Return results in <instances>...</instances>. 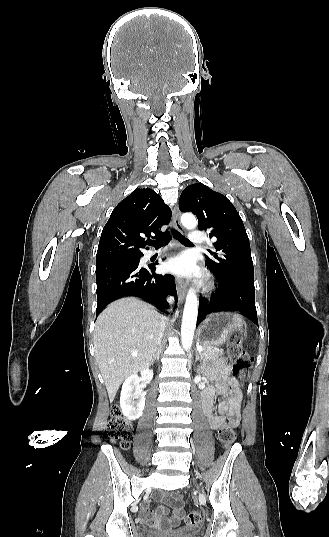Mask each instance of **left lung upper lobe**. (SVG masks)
<instances>
[{
  "label": "left lung upper lobe",
  "instance_id": "obj_1",
  "mask_svg": "<svg viewBox=\"0 0 329 537\" xmlns=\"http://www.w3.org/2000/svg\"><path fill=\"white\" fill-rule=\"evenodd\" d=\"M180 208L193 212L198 218V229L209 231L215 237L216 251L205 255L207 267L221 280L243 279L254 281V268L249 239L233 204L221 193L203 184L195 183L181 194Z\"/></svg>",
  "mask_w": 329,
  "mask_h": 537
}]
</instances>
